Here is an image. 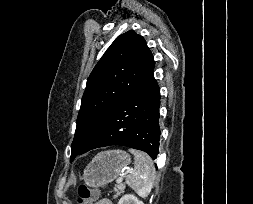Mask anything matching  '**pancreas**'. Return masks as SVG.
I'll use <instances>...</instances> for the list:
<instances>
[{
    "instance_id": "1",
    "label": "pancreas",
    "mask_w": 253,
    "mask_h": 204,
    "mask_svg": "<svg viewBox=\"0 0 253 204\" xmlns=\"http://www.w3.org/2000/svg\"><path fill=\"white\" fill-rule=\"evenodd\" d=\"M125 190V185L124 184H118L115 186L114 191H115V195L114 198H117L120 193H123Z\"/></svg>"
}]
</instances>
